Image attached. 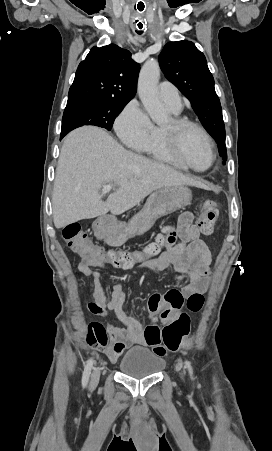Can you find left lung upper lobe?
<instances>
[{"mask_svg":"<svg viewBox=\"0 0 272 451\" xmlns=\"http://www.w3.org/2000/svg\"><path fill=\"white\" fill-rule=\"evenodd\" d=\"M159 63L167 79L190 100L199 120L217 142L220 156L226 160L222 109L204 54L193 42H170L161 52Z\"/></svg>","mask_w":272,"mask_h":451,"instance_id":"obj_1","label":"left lung upper lobe"}]
</instances>
